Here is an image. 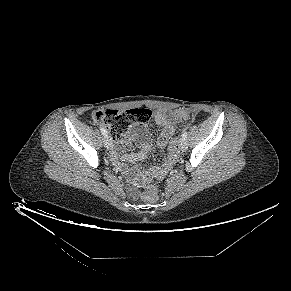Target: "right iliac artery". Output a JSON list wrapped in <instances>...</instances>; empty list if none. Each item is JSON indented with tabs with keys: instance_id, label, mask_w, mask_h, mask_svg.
Returning a JSON list of instances; mask_svg holds the SVG:
<instances>
[{
	"instance_id": "82829eb1",
	"label": "right iliac artery",
	"mask_w": 291,
	"mask_h": 291,
	"mask_svg": "<svg viewBox=\"0 0 291 291\" xmlns=\"http://www.w3.org/2000/svg\"><path fill=\"white\" fill-rule=\"evenodd\" d=\"M100 130L105 137H108L107 131L103 127H100Z\"/></svg>"
}]
</instances>
